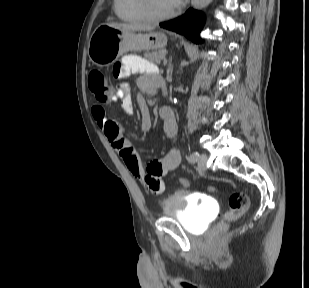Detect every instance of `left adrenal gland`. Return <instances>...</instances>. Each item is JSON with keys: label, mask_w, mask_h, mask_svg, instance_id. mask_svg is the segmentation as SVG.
Returning <instances> with one entry per match:
<instances>
[{"label": "left adrenal gland", "mask_w": 309, "mask_h": 288, "mask_svg": "<svg viewBox=\"0 0 309 288\" xmlns=\"http://www.w3.org/2000/svg\"><path fill=\"white\" fill-rule=\"evenodd\" d=\"M172 72H173L172 57H170L169 58V63H168L167 74L171 76Z\"/></svg>", "instance_id": "1"}]
</instances>
